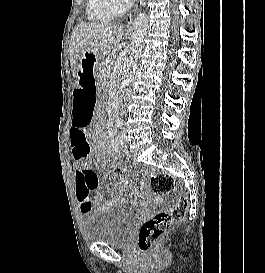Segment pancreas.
<instances>
[{
	"instance_id": "1",
	"label": "pancreas",
	"mask_w": 265,
	"mask_h": 273,
	"mask_svg": "<svg viewBox=\"0 0 265 273\" xmlns=\"http://www.w3.org/2000/svg\"><path fill=\"white\" fill-rule=\"evenodd\" d=\"M115 59V54L109 53L98 65L96 71V77L101 81L104 80L106 76V71L111 67Z\"/></svg>"
}]
</instances>
